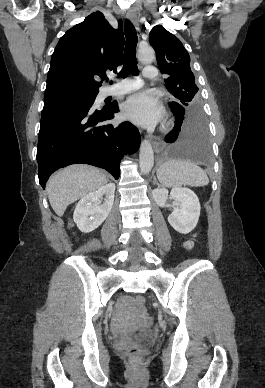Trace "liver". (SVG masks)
Instances as JSON below:
<instances>
[{
    "label": "liver",
    "instance_id": "6515ba94",
    "mask_svg": "<svg viewBox=\"0 0 265 388\" xmlns=\"http://www.w3.org/2000/svg\"><path fill=\"white\" fill-rule=\"evenodd\" d=\"M107 182L105 174L93 166H68L51 176L46 184L51 208L61 218L69 204L99 190Z\"/></svg>",
    "mask_w": 265,
    "mask_h": 388
}]
</instances>
